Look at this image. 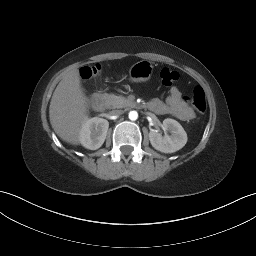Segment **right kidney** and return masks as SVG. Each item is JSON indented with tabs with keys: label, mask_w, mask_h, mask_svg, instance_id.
I'll use <instances>...</instances> for the list:
<instances>
[{
	"label": "right kidney",
	"mask_w": 256,
	"mask_h": 256,
	"mask_svg": "<svg viewBox=\"0 0 256 256\" xmlns=\"http://www.w3.org/2000/svg\"><path fill=\"white\" fill-rule=\"evenodd\" d=\"M108 128L109 122L106 119L86 118L80 132L81 144L90 150L100 148L106 139Z\"/></svg>",
	"instance_id": "obj_1"
}]
</instances>
